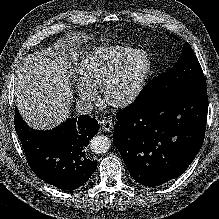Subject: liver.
I'll list each match as a JSON object with an SVG mask.
<instances>
[{"instance_id": "6515ba94", "label": "liver", "mask_w": 219, "mask_h": 219, "mask_svg": "<svg viewBox=\"0 0 219 219\" xmlns=\"http://www.w3.org/2000/svg\"><path fill=\"white\" fill-rule=\"evenodd\" d=\"M67 47L60 42L47 52L28 54L16 71L15 101L34 129H51L69 117L72 90Z\"/></svg>"}]
</instances>
